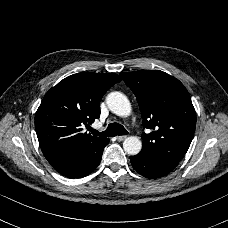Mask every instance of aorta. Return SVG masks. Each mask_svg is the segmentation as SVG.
Masks as SVG:
<instances>
[{
	"label": "aorta",
	"mask_w": 228,
	"mask_h": 228,
	"mask_svg": "<svg viewBox=\"0 0 228 228\" xmlns=\"http://www.w3.org/2000/svg\"><path fill=\"white\" fill-rule=\"evenodd\" d=\"M106 103L110 111L117 116L127 117L131 114V103L127 96L114 91L107 95ZM124 151L129 155H137L142 149V143L135 136L128 137L123 142Z\"/></svg>",
	"instance_id": "obj_1"
}]
</instances>
